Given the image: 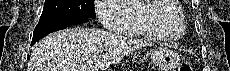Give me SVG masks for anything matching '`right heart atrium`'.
<instances>
[{
	"mask_svg": "<svg viewBox=\"0 0 230 71\" xmlns=\"http://www.w3.org/2000/svg\"><path fill=\"white\" fill-rule=\"evenodd\" d=\"M126 2L127 0H96L95 11L101 24L113 31L121 29L128 22V18L123 11L116 8Z\"/></svg>",
	"mask_w": 230,
	"mask_h": 71,
	"instance_id": "d8ad5b80",
	"label": "right heart atrium"
}]
</instances>
